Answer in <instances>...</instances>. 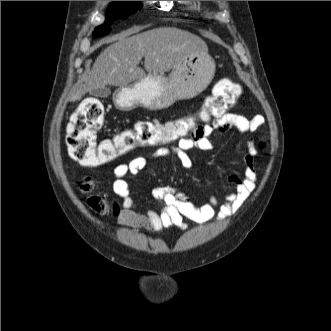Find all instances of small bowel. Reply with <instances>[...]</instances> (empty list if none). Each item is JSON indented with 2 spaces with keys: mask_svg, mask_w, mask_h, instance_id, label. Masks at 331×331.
I'll return each mask as SVG.
<instances>
[{
  "mask_svg": "<svg viewBox=\"0 0 331 331\" xmlns=\"http://www.w3.org/2000/svg\"><path fill=\"white\" fill-rule=\"evenodd\" d=\"M264 121V117L260 114L246 118L238 113H227L204 126H198L188 136L180 138L176 144L156 150L152 157L173 156L187 167L191 164L189 150L208 152L213 149L211 140L213 133L224 134L230 129H236L242 133L254 132L264 124ZM256 154L257 149L250 142L248 153L244 158V174L243 176L229 175L228 182L233 189L225 193L224 203H220L217 197L211 196L207 203L195 205L183 193L177 192L172 187L162 186L154 190V197L161 207L159 211L153 209L138 211L126 181V176L137 175L145 169L149 159L139 156L127 163L118 164L113 170L112 188L122 201L123 209L119 214V223L135 229L159 231L171 226L186 229L185 219L198 223H206L212 219L217 221L227 219L243 206L255 188L257 176L254 157Z\"/></svg>",
  "mask_w": 331,
  "mask_h": 331,
  "instance_id": "c3829d8e",
  "label": "small bowel"
}]
</instances>
